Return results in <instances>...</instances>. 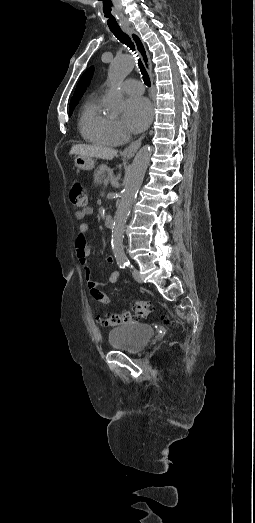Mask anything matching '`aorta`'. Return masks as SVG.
Returning <instances> with one entry per match:
<instances>
[{"mask_svg": "<svg viewBox=\"0 0 255 523\" xmlns=\"http://www.w3.org/2000/svg\"><path fill=\"white\" fill-rule=\"evenodd\" d=\"M133 68L134 60L129 55L117 57L110 64L108 71L110 89L107 94L106 107L112 114H119L122 110L123 96L118 89V85ZM151 154L152 148L149 145L143 146L137 152L124 182V189L121 194L120 204L114 216L112 230V250L117 261H124L126 259L123 246L125 225L131 205L143 182Z\"/></svg>", "mask_w": 255, "mask_h": 523, "instance_id": "762f6f07", "label": "aorta"}]
</instances>
